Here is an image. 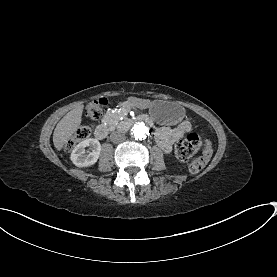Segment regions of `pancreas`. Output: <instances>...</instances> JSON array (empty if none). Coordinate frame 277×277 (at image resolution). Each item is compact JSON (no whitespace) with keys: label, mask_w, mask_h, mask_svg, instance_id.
<instances>
[{"label":"pancreas","mask_w":277,"mask_h":277,"mask_svg":"<svg viewBox=\"0 0 277 277\" xmlns=\"http://www.w3.org/2000/svg\"><path fill=\"white\" fill-rule=\"evenodd\" d=\"M130 112V106L126 102H121L118 104L117 109L111 108L107 111L104 116V121L108 125H113L118 122L121 116H126Z\"/></svg>","instance_id":"pancreas-1"}]
</instances>
